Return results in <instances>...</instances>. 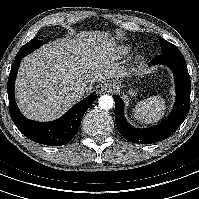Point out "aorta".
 I'll list each match as a JSON object with an SVG mask.
<instances>
[{
  "label": "aorta",
  "mask_w": 199,
  "mask_h": 199,
  "mask_svg": "<svg viewBox=\"0 0 199 199\" xmlns=\"http://www.w3.org/2000/svg\"><path fill=\"white\" fill-rule=\"evenodd\" d=\"M99 107L103 110H109L114 105V100L110 95H102L98 99Z\"/></svg>",
  "instance_id": "aorta-1"
}]
</instances>
